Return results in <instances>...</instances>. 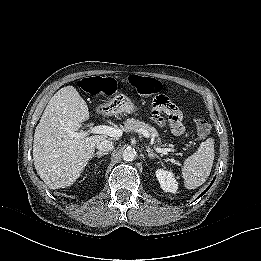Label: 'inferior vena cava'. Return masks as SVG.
<instances>
[{
    "label": "inferior vena cava",
    "instance_id": "1",
    "mask_svg": "<svg viewBox=\"0 0 261 261\" xmlns=\"http://www.w3.org/2000/svg\"><path fill=\"white\" fill-rule=\"evenodd\" d=\"M113 142L107 139H101L97 142L96 148L102 152H108L113 149Z\"/></svg>",
    "mask_w": 261,
    "mask_h": 261
}]
</instances>
